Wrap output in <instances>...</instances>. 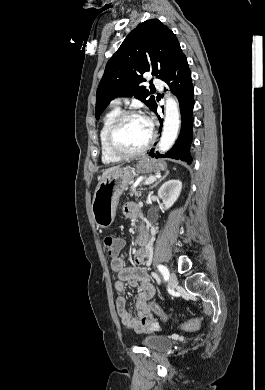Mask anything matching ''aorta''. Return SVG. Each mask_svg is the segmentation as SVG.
I'll list each match as a JSON object with an SVG mask.
<instances>
[{
  "instance_id": "762f6f07",
  "label": "aorta",
  "mask_w": 265,
  "mask_h": 390,
  "mask_svg": "<svg viewBox=\"0 0 265 390\" xmlns=\"http://www.w3.org/2000/svg\"><path fill=\"white\" fill-rule=\"evenodd\" d=\"M180 125V112L177 101L170 95L166 98L165 121L158 147L160 152L168 151L178 134Z\"/></svg>"
}]
</instances>
